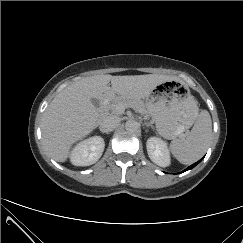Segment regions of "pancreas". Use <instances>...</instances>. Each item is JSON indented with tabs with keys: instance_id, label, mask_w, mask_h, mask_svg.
<instances>
[{
	"instance_id": "cf45deb5",
	"label": "pancreas",
	"mask_w": 243,
	"mask_h": 243,
	"mask_svg": "<svg viewBox=\"0 0 243 243\" xmlns=\"http://www.w3.org/2000/svg\"><path fill=\"white\" fill-rule=\"evenodd\" d=\"M123 104L126 108L131 107L138 112H145V106L140 100L126 99L123 97H115L113 98L106 106L107 110H109L112 114H121L117 110L119 105Z\"/></svg>"
}]
</instances>
